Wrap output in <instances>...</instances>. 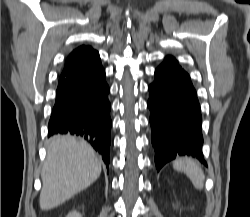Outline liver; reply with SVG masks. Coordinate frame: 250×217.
<instances>
[{"label": "liver", "instance_id": "obj_1", "mask_svg": "<svg viewBox=\"0 0 250 217\" xmlns=\"http://www.w3.org/2000/svg\"><path fill=\"white\" fill-rule=\"evenodd\" d=\"M42 169L40 208L53 209L95 182L101 164L93 148L71 136H55L47 142Z\"/></svg>", "mask_w": 250, "mask_h": 217}]
</instances>
